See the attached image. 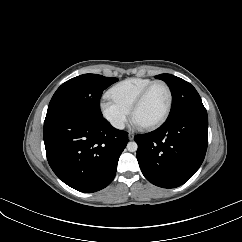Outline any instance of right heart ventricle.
<instances>
[{
  "instance_id": "1",
  "label": "right heart ventricle",
  "mask_w": 242,
  "mask_h": 242,
  "mask_svg": "<svg viewBox=\"0 0 242 242\" xmlns=\"http://www.w3.org/2000/svg\"><path fill=\"white\" fill-rule=\"evenodd\" d=\"M154 80L148 78H129L109 90L112 101L124 108L131 110V107L141 92Z\"/></svg>"
}]
</instances>
